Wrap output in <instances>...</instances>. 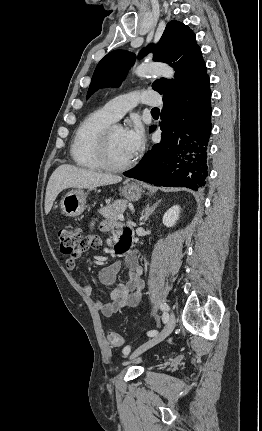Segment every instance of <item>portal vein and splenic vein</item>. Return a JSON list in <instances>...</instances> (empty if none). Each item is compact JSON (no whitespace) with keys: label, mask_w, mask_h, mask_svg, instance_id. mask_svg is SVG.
<instances>
[{"label":"portal vein and splenic vein","mask_w":262,"mask_h":431,"mask_svg":"<svg viewBox=\"0 0 262 431\" xmlns=\"http://www.w3.org/2000/svg\"><path fill=\"white\" fill-rule=\"evenodd\" d=\"M118 219H119L120 221H124V220H125L123 215H119V216H118Z\"/></svg>","instance_id":"obj_1"}]
</instances>
